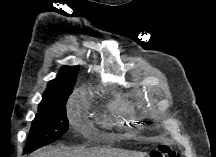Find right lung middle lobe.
<instances>
[{
  "instance_id": "1",
  "label": "right lung middle lobe",
  "mask_w": 216,
  "mask_h": 157,
  "mask_svg": "<svg viewBox=\"0 0 216 157\" xmlns=\"http://www.w3.org/2000/svg\"><path fill=\"white\" fill-rule=\"evenodd\" d=\"M72 90L60 91L38 107L23 153L28 154L60 138L68 130L65 104Z\"/></svg>"
}]
</instances>
